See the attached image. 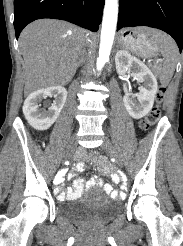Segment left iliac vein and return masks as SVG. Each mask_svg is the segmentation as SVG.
I'll use <instances>...</instances> for the list:
<instances>
[{"label": "left iliac vein", "mask_w": 183, "mask_h": 246, "mask_svg": "<svg viewBox=\"0 0 183 246\" xmlns=\"http://www.w3.org/2000/svg\"><path fill=\"white\" fill-rule=\"evenodd\" d=\"M102 149L107 154H109L111 157H113L119 166H122V159H121L120 153L118 152L116 147L113 145V143L106 137L104 138Z\"/></svg>", "instance_id": "4c4485c4"}]
</instances>
